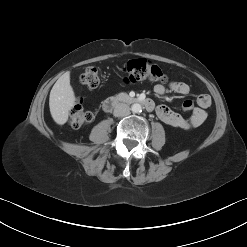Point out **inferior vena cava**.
<instances>
[{"instance_id":"inferior-vena-cava-1","label":"inferior vena cava","mask_w":247,"mask_h":247,"mask_svg":"<svg viewBox=\"0 0 247 247\" xmlns=\"http://www.w3.org/2000/svg\"><path fill=\"white\" fill-rule=\"evenodd\" d=\"M115 117H123L130 114V107L127 104L119 103L114 109Z\"/></svg>"}]
</instances>
